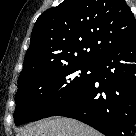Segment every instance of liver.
<instances>
[{"label": "liver", "instance_id": "6515ba94", "mask_svg": "<svg viewBox=\"0 0 136 136\" xmlns=\"http://www.w3.org/2000/svg\"><path fill=\"white\" fill-rule=\"evenodd\" d=\"M18 136H101L74 119L56 117L27 125Z\"/></svg>", "mask_w": 136, "mask_h": 136}]
</instances>
